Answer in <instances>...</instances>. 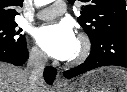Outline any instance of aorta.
<instances>
[{"label": "aorta", "instance_id": "aorta-1", "mask_svg": "<svg viewBox=\"0 0 127 92\" xmlns=\"http://www.w3.org/2000/svg\"><path fill=\"white\" fill-rule=\"evenodd\" d=\"M52 0H35V5L37 7L44 6L46 4H49Z\"/></svg>", "mask_w": 127, "mask_h": 92}]
</instances>
